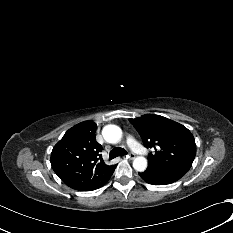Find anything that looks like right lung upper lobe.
<instances>
[{"mask_svg":"<svg viewBox=\"0 0 233 233\" xmlns=\"http://www.w3.org/2000/svg\"><path fill=\"white\" fill-rule=\"evenodd\" d=\"M96 127L92 121L76 125L52 150L53 170L72 189H98L106 184L116 168V165H106L101 157L102 146L95 139Z\"/></svg>","mask_w":233,"mask_h":233,"instance_id":"obj_1","label":"right lung upper lobe"}]
</instances>
